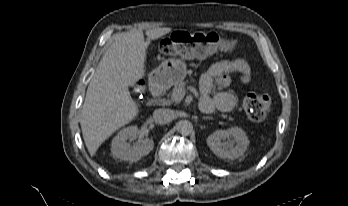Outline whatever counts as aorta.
I'll use <instances>...</instances> for the list:
<instances>
[{"instance_id": "obj_1", "label": "aorta", "mask_w": 348, "mask_h": 206, "mask_svg": "<svg viewBox=\"0 0 348 206\" xmlns=\"http://www.w3.org/2000/svg\"><path fill=\"white\" fill-rule=\"evenodd\" d=\"M178 131L182 135H190L193 132V125L190 121L188 120H181L178 123Z\"/></svg>"}]
</instances>
